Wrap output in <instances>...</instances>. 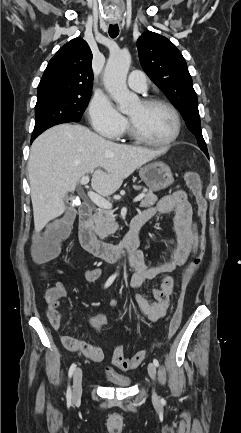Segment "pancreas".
<instances>
[{"label": "pancreas", "instance_id": "pancreas-1", "mask_svg": "<svg viewBox=\"0 0 241 433\" xmlns=\"http://www.w3.org/2000/svg\"><path fill=\"white\" fill-rule=\"evenodd\" d=\"M145 196L140 203V207L153 206L158 197L152 191L145 190ZM93 228L100 238H105L113 234L118 229V224L115 222L113 211L110 209L98 208L93 215Z\"/></svg>", "mask_w": 241, "mask_h": 433}]
</instances>
